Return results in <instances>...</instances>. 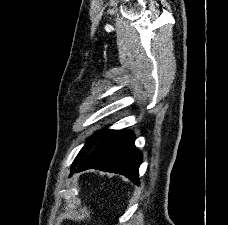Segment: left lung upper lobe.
Instances as JSON below:
<instances>
[{"label":"left lung upper lobe","mask_w":228,"mask_h":225,"mask_svg":"<svg viewBox=\"0 0 228 225\" xmlns=\"http://www.w3.org/2000/svg\"><path fill=\"white\" fill-rule=\"evenodd\" d=\"M106 131V130H105ZM105 131H100L97 132L96 134H94L93 136H91L87 141L86 144L84 145V147L81 149V151L79 152V154L77 155V157L75 158L73 164H72V168H71V172L75 169V167L88 155L91 153V151L93 150L94 146L96 145V143L98 142V140L101 138V136L103 135V133Z\"/></svg>","instance_id":"5c2ea615"}]
</instances>
